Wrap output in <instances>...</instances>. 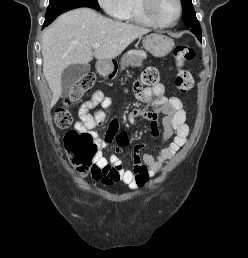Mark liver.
<instances>
[{"label": "liver", "instance_id": "liver-1", "mask_svg": "<svg viewBox=\"0 0 248 258\" xmlns=\"http://www.w3.org/2000/svg\"><path fill=\"white\" fill-rule=\"evenodd\" d=\"M143 27L108 19L90 8L59 16L42 38L43 73L53 93L51 107L62 94L61 74L71 64H88L119 56L135 39L149 33ZM100 43L98 49L93 44Z\"/></svg>", "mask_w": 248, "mask_h": 258}]
</instances>
